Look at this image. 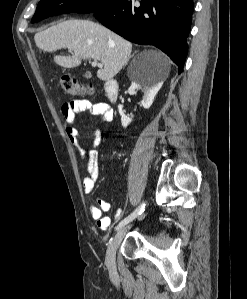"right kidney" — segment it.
<instances>
[{
  "instance_id": "obj_1",
  "label": "right kidney",
  "mask_w": 247,
  "mask_h": 299,
  "mask_svg": "<svg viewBox=\"0 0 247 299\" xmlns=\"http://www.w3.org/2000/svg\"><path fill=\"white\" fill-rule=\"evenodd\" d=\"M162 86V83H157L151 86L145 85V84H140L137 81H133L131 86L128 89V93L130 95L136 94V91L138 89H141L142 92L144 93L143 99L141 101V105L145 109H149L154 101V98L158 91L160 90ZM118 111L121 116V123L124 128H126L132 121L131 118L125 116L124 111H123V106L119 105L118 106Z\"/></svg>"
}]
</instances>
